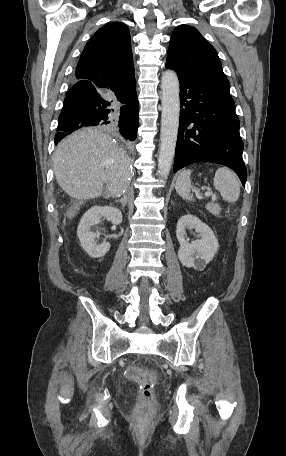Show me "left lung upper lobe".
Returning a JSON list of instances; mask_svg holds the SVG:
<instances>
[{
    "mask_svg": "<svg viewBox=\"0 0 286 456\" xmlns=\"http://www.w3.org/2000/svg\"><path fill=\"white\" fill-rule=\"evenodd\" d=\"M166 66L230 95L229 82L216 50L194 27L181 25L174 29Z\"/></svg>",
    "mask_w": 286,
    "mask_h": 456,
    "instance_id": "left-lung-upper-lobe-1",
    "label": "left lung upper lobe"
}]
</instances>
